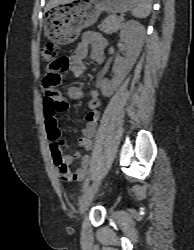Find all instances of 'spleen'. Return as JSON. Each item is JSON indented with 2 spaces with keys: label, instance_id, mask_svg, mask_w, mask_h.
<instances>
[{
  "label": "spleen",
  "instance_id": "3e777b00",
  "mask_svg": "<svg viewBox=\"0 0 194 250\" xmlns=\"http://www.w3.org/2000/svg\"><path fill=\"white\" fill-rule=\"evenodd\" d=\"M152 0H140L137 7L132 10V15L137 18H146L151 11Z\"/></svg>",
  "mask_w": 194,
  "mask_h": 250
}]
</instances>
